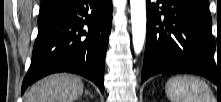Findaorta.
Segmentation results:
<instances>
[{
    "label": "aorta",
    "instance_id": "762f6f07",
    "mask_svg": "<svg viewBox=\"0 0 221 102\" xmlns=\"http://www.w3.org/2000/svg\"><path fill=\"white\" fill-rule=\"evenodd\" d=\"M133 47L139 54L146 37V0H130Z\"/></svg>",
    "mask_w": 221,
    "mask_h": 102
}]
</instances>
